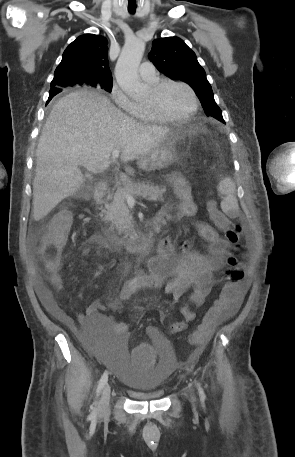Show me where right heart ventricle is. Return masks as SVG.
I'll list each match as a JSON object with an SVG mask.
<instances>
[{"instance_id":"e07e8e85","label":"right heart ventricle","mask_w":295,"mask_h":457,"mask_svg":"<svg viewBox=\"0 0 295 457\" xmlns=\"http://www.w3.org/2000/svg\"><path fill=\"white\" fill-rule=\"evenodd\" d=\"M138 105V104H137ZM136 119L142 123H154L156 120L149 113L145 105H138V110L135 115Z\"/></svg>"}]
</instances>
